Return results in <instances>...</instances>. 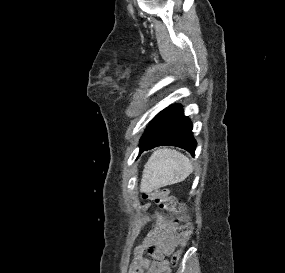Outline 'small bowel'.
Returning a JSON list of instances; mask_svg holds the SVG:
<instances>
[{"label":"small bowel","instance_id":"small-bowel-1","mask_svg":"<svg viewBox=\"0 0 285 273\" xmlns=\"http://www.w3.org/2000/svg\"><path fill=\"white\" fill-rule=\"evenodd\" d=\"M178 225L171 217L159 214L151 230L136 247L129 273H163L166 257L179 243ZM149 253L152 260L145 257Z\"/></svg>","mask_w":285,"mask_h":273}]
</instances>
